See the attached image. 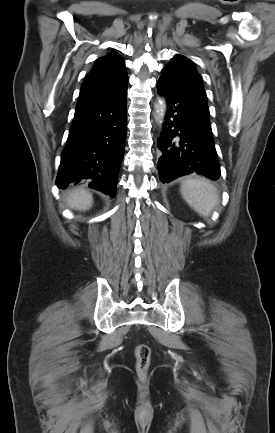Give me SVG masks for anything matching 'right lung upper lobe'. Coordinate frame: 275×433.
Here are the masks:
<instances>
[{
    "instance_id": "right-lung-upper-lobe-1",
    "label": "right lung upper lobe",
    "mask_w": 275,
    "mask_h": 433,
    "mask_svg": "<svg viewBox=\"0 0 275 433\" xmlns=\"http://www.w3.org/2000/svg\"><path fill=\"white\" fill-rule=\"evenodd\" d=\"M127 83L124 60L111 53L95 61L93 70L82 84L79 99L102 91L119 90Z\"/></svg>"
}]
</instances>
